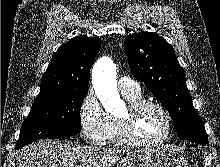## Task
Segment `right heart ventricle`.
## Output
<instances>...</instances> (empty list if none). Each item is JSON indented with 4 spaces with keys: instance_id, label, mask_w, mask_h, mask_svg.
<instances>
[{
    "instance_id": "e07e8e85",
    "label": "right heart ventricle",
    "mask_w": 220,
    "mask_h": 167,
    "mask_svg": "<svg viewBox=\"0 0 220 167\" xmlns=\"http://www.w3.org/2000/svg\"><path fill=\"white\" fill-rule=\"evenodd\" d=\"M124 97L131 103L141 99V94H123ZM110 124L105 141L113 145L126 144L120 134V126L118 117L109 116Z\"/></svg>"
}]
</instances>
